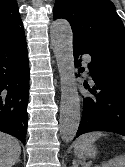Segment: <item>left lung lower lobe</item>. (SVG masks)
<instances>
[{"label":"left lung lower lobe","mask_w":125,"mask_h":167,"mask_svg":"<svg viewBox=\"0 0 125 167\" xmlns=\"http://www.w3.org/2000/svg\"><path fill=\"white\" fill-rule=\"evenodd\" d=\"M75 67L80 54H89L90 75L95 86L84 85L92 97L83 102V114L76 137L93 131H109L125 136V57L114 50L90 51L73 43ZM83 68L79 72H83ZM75 137V138H76Z\"/></svg>","instance_id":"left-lung-lower-lobe-1"}]
</instances>
